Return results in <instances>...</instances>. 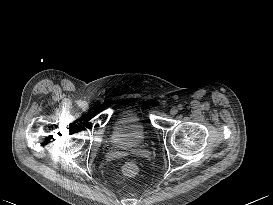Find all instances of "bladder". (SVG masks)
<instances>
[{"mask_svg": "<svg viewBox=\"0 0 273 205\" xmlns=\"http://www.w3.org/2000/svg\"><path fill=\"white\" fill-rule=\"evenodd\" d=\"M147 135L148 130L142 116L135 109H124L113 119L109 143L117 149H131L141 146Z\"/></svg>", "mask_w": 273, "mask_h": 205, "instance_id": "bladder-1", "label": "bladder"}]
</instances>
